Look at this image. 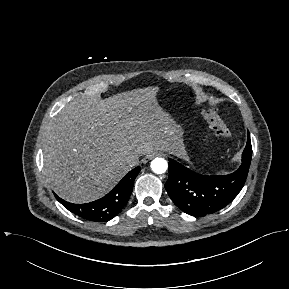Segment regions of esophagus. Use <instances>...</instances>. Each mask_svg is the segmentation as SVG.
<instances>
[{"label":"esophagus","mask_w":289,"mask_h":289,"mask_svg":"<svg viewBox=\"0 0 289 289\" xmlns=\"http://www.w3.org/2000/svg\"><path fill=\"white\" fill-rule=\"evenodd\" d=\"M154 156H156V155L154 154V155H152L151 157H154Z\"/></svg>","instance_id":"1"}]
</instances>
